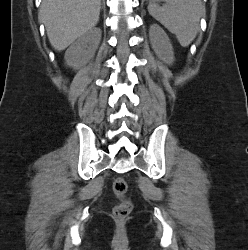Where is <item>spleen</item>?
I'll return each mask as SVG.
<instances>
[{
	"label": "spleen",
	"mask_w": 248,
	"mask_h": 250,
	"mask_svg": "<svg viewBox=\"0 0 248 250\" xmlns=\"http://www.w3.org/2000/svg\"><path fill=\"white\" fill-rule=\"evenodd\" d=\"M157 1H150L149 14L175 34L181 46H189L197 36L204 11L201 0H162L166 2L162 7Z\"/></svg>",
	"instance_id": "3e777b00"
}]
</instances>
